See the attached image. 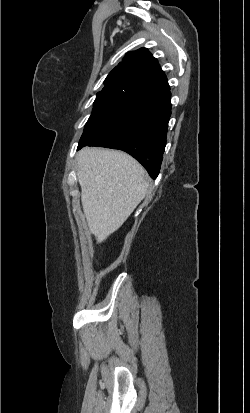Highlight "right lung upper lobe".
I'll list each match as a JSON object with an SVG mask.
<instances>
[{"label": "right lung upper lobe", "instance_id": "cb5924a9", "mask_svg": "<svg viewBox=\"0 0 250 413\" xmlns=\"http://www.w3.org/2000/svg\"><path fill=\"white\" fill-rule=\"evenodd\" d=\"M103 89L131 91L138 96L170 90L166 75L146 48L126 55L107 76Z\"/></svg>", "mask_w": 250, "mask_h": 413}]
</instances>
